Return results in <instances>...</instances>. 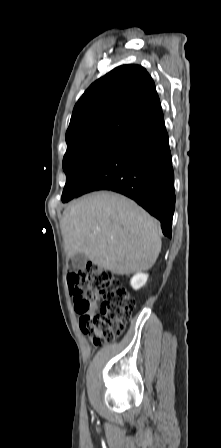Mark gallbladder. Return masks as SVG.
<instances>
[{
    "mask_svg": "<svg viewBox=\"0 0 221 448\" xmlns=\"http://www.w3.org/2000/svg\"><path fill=\"white\" fill-rule=\"evenodd\" d=\"M72 266L74 269H83L87 262V256L84 253H77L72 257Z\"/></svg>",
    "mask_w": 221,
    "mask_h": 448,
    "instance_id": "obj_1",
    "label": "gallbladder"
}]
</instances>
